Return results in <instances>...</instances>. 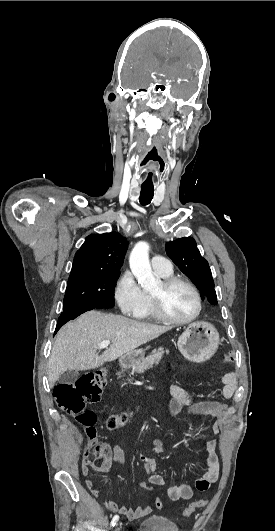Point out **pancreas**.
I'll use <instances>...</instances> for the list:
<instances>
[{
  "label": "pancreas",
  "instance_id": "cf45deb5",
  "mask_svg": "<svg viewBox=\"0 0 275 531\" xmlns=\"http://www.w3.org/2000/svg\"><path fill=\"white\" fill-rule=\"evenodd\" d=\"M164 353L166 355H169L168 349L164 351L163 347H159V349H153L152 353L150 355H147L145 359H142V361H137V363H132V365H122V371H119V373H116L118 379L120 377H123V373L125 369H132L134 373H144V371H148V369H152L153 365H159V361H161ZM127 381H131V379H127Z\"/></svg>",
  "mask_w": 275,
  "mask_h": 531
}]
</instances>
